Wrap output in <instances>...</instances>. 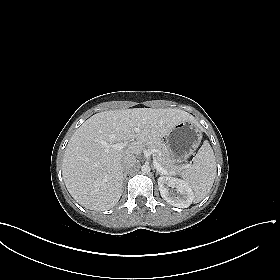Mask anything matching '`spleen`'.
Wrapping results in <instances>:
<instances>
[{
	"mask_svg": "<svg viewBox=\"0 0 280 280\" xmlns=\"http://www.w3.org/2000/svg\"><path fill=\"white\" fill-rule=\"evenodd\" d=\"M216 160L209 142H203L193 158V164L182 173L184 181L194 192V202H200L209 193L216 176Z\"/></svg>",
	"mask_w": 280,
	"mask_h": 280,
	"instance_id": "obj_1",
	"label": "spleen"
}]
</instances>
